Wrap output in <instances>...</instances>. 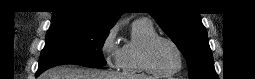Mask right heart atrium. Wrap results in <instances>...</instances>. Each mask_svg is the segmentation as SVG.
I'll return each instance as SVG.
<instances>
[{"mask_svg": "<svg viewBox=\"0 0 255 79\" xmlns=\"http://www.w3.org/2000/svg\"><path fill=\"white\" fill-rule=\"evenodd\" d=\"M100 51L109 67L116 68L119 66L121 49L116 43V31L114 28L109 29L105 34L100 44Z\"/></svg>", "mask_w": 255, "mask_h": 79, "instance_id": "d8ad5b80", "label": "right heart atrium"}]
</instances>
